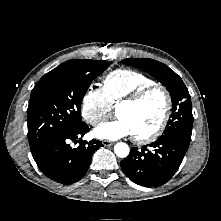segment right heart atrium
Here are the masks:
<instances>
[{
    "label": "right heart atrium",
    "instance_id": "obj_1",
    "mask_svg": "<svg viewBox=\"0 0 221 221\" xmlns=\"http://www.w3.org/2000/svg\"><path fill=\"white\" fill-rule=\"evenodd\" d=\"M80 111L89 125L96 126L109 115L111 105L101 89L89 88L82 97Z\"/></svg>",
    "mask_w": 221,
    "mask_h": 221
}]
</instances>
